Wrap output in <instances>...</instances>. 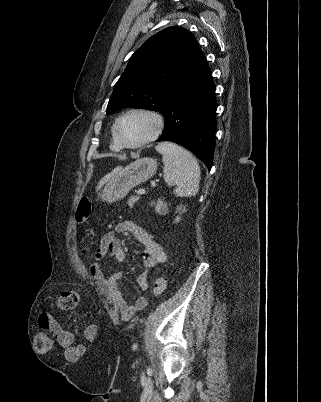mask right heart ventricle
Returning <instances> with one entry per match:
<instances>
[{"mask_svg":"<svg viewBox=\"0 0 321 402\" xmlns=\"http://www.w3.org/2000/svg\"><path fill=\"white\" fill-rule=\"evenodd\" d=\"M110 148L116 152L121 150L120 146L118 145V143L116 142V140L114 138L113 130H112V138H111V142H110Z\"/></svg>","mask_w":321,"mask_h":402,"instance_id":"obj_1","label":"right heart ventricle"}]
</instances>
